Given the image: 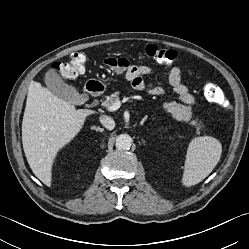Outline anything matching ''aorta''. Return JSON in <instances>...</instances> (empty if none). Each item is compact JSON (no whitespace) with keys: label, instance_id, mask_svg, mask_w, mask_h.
I'll use <instances>...</instances> for the list:
<instances>
[{"label":"aorta","instance_id":"1","mask_svg":"<svg viewBox=\"0 0 249 249\" xmlns=\"http://www.w3.org/2000/svg\"><path fill=\"white\" fill-rule=\"evenodd\" d=\"M132 145V138L128 134H121L116 138L115 146L118 150H128Z\"/></svg>","mask_w":249,"mask_h":249}]
</instances>
